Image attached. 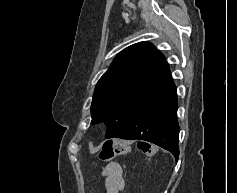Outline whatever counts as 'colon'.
Segmentation results:
<instances>
[{"label": "colon", "instance_id": "1", "mask_svg": "<svg viewBox=\"0 0 237 193\" xmlns=\"http://www.w3.org/2000/svg\"><path fill=\"white\" fill-rule=\"evenodd\" d=\"M139 149L144 155H153V149L147 143H139ZM130 151V143L124 140L107 141L103 144L98 153V157L103 162H112L117 156L127 154Z\"/></svg>", "mask_w": 237, "mask_h": 193}]
</instances>
